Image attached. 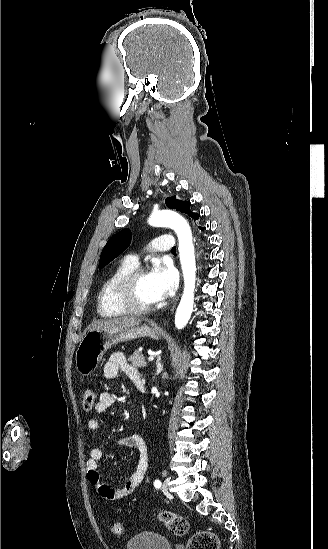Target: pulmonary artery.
Instances as JSON below:
<instances>
[{
    "label": "pulmonary artery",
    "mask_w": 328,
    "mask_h": 549,
    "mask_svg": "<svg viewBox=\"0 0 328 549\" xmlns=\"http://www.w3.org/2000/svg\"><path fill=\"white\" fill-rule=\"evenodd\" d=\"M175 244L173 237H156L153 241H150L148 244V249L150 252H167L170 248H173ZM136 253L139 256H142L145 253V250L142 247H139L136 250ZM135 260H138V256H134Z\"/></svg>",
    "instance_id": "1"
}]
</instances>
